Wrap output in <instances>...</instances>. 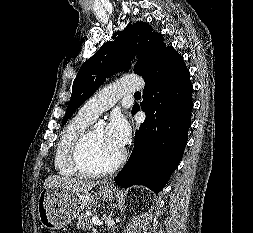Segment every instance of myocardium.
<instances>
[{
  "mask_svg": "<svg viewBox=\"0 0 253 233\" xmlns=\"http://www.w3.org/2000/svg\"><path fill=\"white\" fill-rule=\"evenodd\" d=\"M93 128L88 127L87 130L75 142L70 156L72 167L84 176H101L116 170L125 160V151H121L118 157L110 164L101 168H92L85 161V152L89 146Z\"/></svg>",
  "mask_w": 253,
  "mask_h": 233,
  "instance_id": "f54148a6",
  "label": "myocardium"
}]
</instances>
